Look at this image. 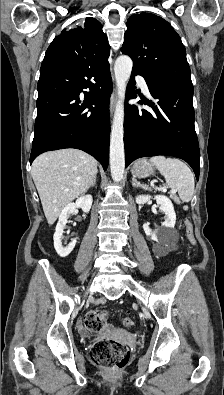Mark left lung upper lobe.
Returning <instances> with one entry per match:
<instances>
[{"mask_svg": "<svg viewBox=\"0 0 224 395\" xmlns=\"http://www.w3.org/2000/svg\"><path fill=\"white\" fill-rule=\"evenodd\" d=\"M122 53L133 60V70L146 76L192 85L181 38L163 18L141 13L130 16Z\"/></svg>", "mask_w": 224, "mask_h": 395, "instance_id": "1", "label": "left lung upper lobe"}]
</instances>
